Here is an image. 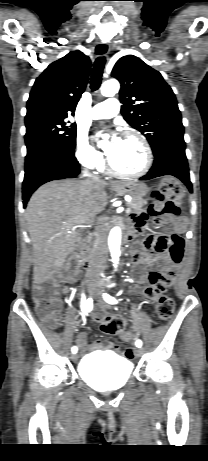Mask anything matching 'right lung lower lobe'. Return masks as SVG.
<instances>
[{"mask_svg":"<svg viewBox=\"0 0 208 461\" xmlns=\"http://www.w3.org/2000/svg\"><path fill=\"white\" fill-rule=\"evenodd\" d=\"M80 173V166L74 154L56 149L45 148L27 157L23 180V206L31 194L42 184L64 178H75Z\"/></svg>","mask_w":208,"mask_h":461,"instance_id":"right-lung-lower-lobe-1","label":"right lung lower lobe"}]
</instances>
